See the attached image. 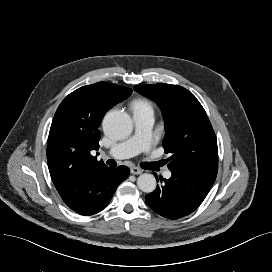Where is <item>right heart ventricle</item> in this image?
I'll use <instances>...</instances> for the list:
<instances>
[{
    "mask_svg": "<svg viewBox=\"0 0 272 272\" xmlns=\"http://www.w3.org/2000/svg\"><path fill=\"white\" fill-rule=\"evenodd\" d=\"M132 109L134 112H152L153 105L152 103L145 98H139L132 103Z\"/></svg>",
    "mask_w": 272,
    "mask_h": 272,
    "instance_id": "e07e8e85",
    "label": "right heart ventricle"
}]
</instances>
